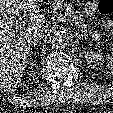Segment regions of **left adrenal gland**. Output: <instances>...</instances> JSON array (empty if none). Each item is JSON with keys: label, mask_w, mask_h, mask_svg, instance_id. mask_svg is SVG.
<instances>
[{"label": "left adrenal gland", "mask_w": 113, "mask_h": 113, "mask_svg": "<svg viewBox=\"0 0 113 113\" xmlns=\"http://www.w3.org/2000/svg\"><path fill=\"white\" fill-rule=\"evenodd\" d=\"M75 37L77 38L76 42L79 43L83 38L87 39L84 35L75 33Z\"/></svg>", "instance_id": "left-adrenal-gland-1"}]
</instances>
